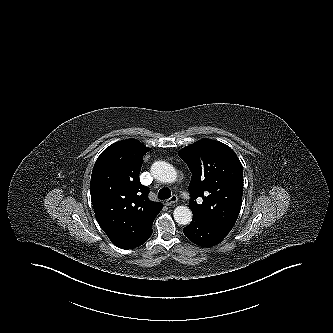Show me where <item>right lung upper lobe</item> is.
Here are the masks:
<instances>
[{"mask_svg": "<svg viewBox=\"0 0 333 333\" xmlns=\"http://www.w3.org/2000/svg\"><path fill=\"white\" fill-rule=\"evenodd\" d=\"M150 151L136 139L107 147L98 157L91 176V201L96 219L114 245L132 249L152 234V224L163 208L148 199L139 181L143 155Z\"/></svg>", "mask_w": 333, "mask_h": 333, "instance_id": "obj_1", "label": "right lung upper lobe"}]
</instances>
